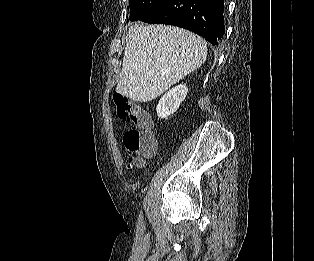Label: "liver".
<instances>
[{
    "label": "liver",
    "instance_id": "liver-1",
    "mask_svg": "<svg viewBox=\"0 0 314 261\" xmlns=\"http://www.w3.org/2000/svg\"><path fill=\"white\" fill-rule=\"evenodd\" d=\"M207 57L204 39L169 25L131 24L117 93L149 102L197 68Z\"/></svg>",
    "mask_w": 314,
    "mask_h": 261
}]
</instances>
